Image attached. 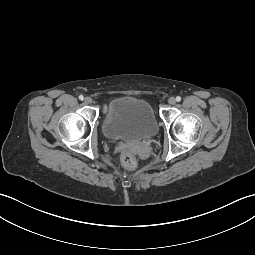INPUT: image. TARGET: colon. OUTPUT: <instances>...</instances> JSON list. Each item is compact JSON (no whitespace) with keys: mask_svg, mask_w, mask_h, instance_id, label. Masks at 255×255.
<instances>
[{"mask_svg":"<svg viewBox=\"0 0 255 255\" xmlns=\"http://www.w3.org/2000/svg\"><path fill=\"white\" fill-rule=\"evenodd\" d=\"M121 163L129 171H132L137 166V160L134 152L131 149H124L121 153Z\"/></svg>","mask_w":255,"mask_h":255,"instance_id":"5ec220e1","label":"colon"}]
</instances>
